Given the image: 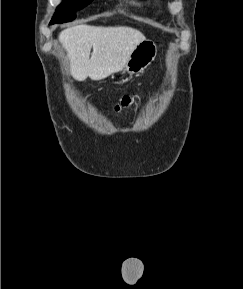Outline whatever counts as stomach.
Instances as JSON below:
<instances>
[{"label": "stomach", "mask_w": 243, "mask_h": 289, "mask_svg": "<svg viewBox=\"0 0 243 289\" xmlns=\"http://www.w3.org/2000/svg\"><path fill=\"white\" fill-rule=\"evenodd\" d=\"M156 55V44L145 39L134 48L122 71L129 74L142 73L154 61Z\"/></svg>", "instance_id": "0dacf381"}]
</instances>
